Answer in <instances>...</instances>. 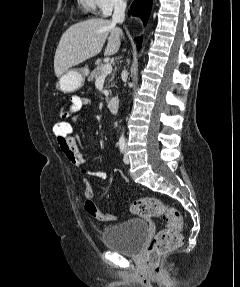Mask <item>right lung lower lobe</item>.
<instances>
[{"mask_svg":"<svg viewBox=\"0 0 240 287\" xmlns=\"http://www.w3.org/2000/svg\"><path fill=\"white\" fill-rule=\"evenodd\" d=\"M152 0H134L131 6V14L138 16L146 24L150 11H151ZM137 43V49L141 48L142 37L135 38Z\"/></svg>","mask_w":240,"mask_h":287,"instance_id":"1","label":"right lung lower lobe"}]
</instances>
